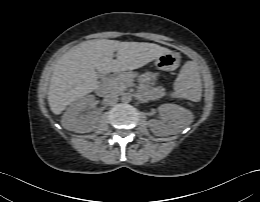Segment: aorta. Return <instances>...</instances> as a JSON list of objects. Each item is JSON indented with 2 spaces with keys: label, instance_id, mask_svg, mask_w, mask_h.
Instances as JSON below:
<instances>
[{
  "label": "aorta",
  "instance_id": "1",
  "mask_svg": "<svg viewBox=\"0 0 260 202\" xmlns=\"http://www.w3.org/2000/svg\"><path fill=\"white\" fill-rule=\"evenodd\" d=\"M122 102L128 103L131 101V96L129 93H124L121 97Z\"/></svg>",
  "mask_w": 260,
  "mask_h": 202
}]
</instances>
